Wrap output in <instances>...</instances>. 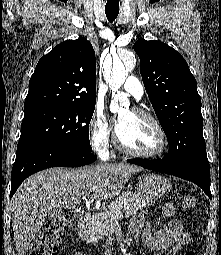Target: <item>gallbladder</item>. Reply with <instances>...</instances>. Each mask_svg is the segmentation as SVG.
Listing matches in <instances>:
<instances>
[{"label": "gallbladder", "instance_id": "gallbladder-1", "mask_svg": "<svg viewBox=\"0 0 221 255\" xmlns=\"http://www.w3.org/2000/svg\"><path fill=\"white\" fill-rule=\"evenodd\" d=\"M62 213V210L61 209H57V210H54L53 212H51L49 214L50 217H53V216H57V215H60Z\"/></svg>", "mask_w": 221, "mask_h": 255}]
</instances>
